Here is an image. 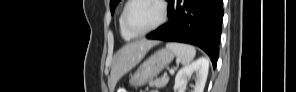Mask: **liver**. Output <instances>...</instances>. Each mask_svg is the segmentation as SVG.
<instances>
[{
    "label": "liver",
    "mask_w": 296,
    "mask_h": 92,
    "mask_svg": "<svg viewBox=\"0 0 296 92\" xmlns=\"http://www.w3.org/2000/svg\"><path fill=\"white\" fill-rule=\"evenodd\" d=\"M157 44L158 41H135L125 45L116 53L111 69L110 92H113L118 80L135 67L146 53Z\"/></svg>",
    "instance_id": "6515ba94"
}]
</instances>
